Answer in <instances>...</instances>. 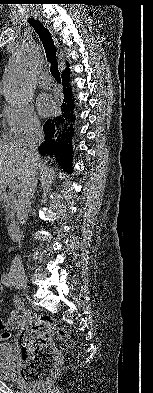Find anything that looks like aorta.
I'll use <instances>...</instances> for the list:
<instances>
[{
    "label": "aorta",
    "instance_id": "aorta-1",
    "mask_svg": "<svg viewBox=\"0 0 153 393\" xmlns=\"http://www.w3.org/2000/svg\"><path fill=\"white\" fill-rule=\"evenodd\" d=\"M39 53L36 43L25 41L9 58L3 79V93L14 107L25 106L34 95Z\"/></svg>",
    "mask_w": 153,
    "mask_h": 393
}]
</instances>
